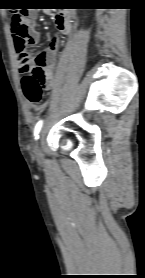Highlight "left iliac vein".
<instances>
[{"mask_svg": "<svg viewBox=\"0 0 145 278\" xmlns=\"http://www.w3.org/2000/svg\"><path fill=\"white\" fill-rule=\"evenodd\" d=\"M42 136H43V134L41 133L40 138ZM39 143H40V140L36 141V143H35V156L37 157V159H40L42 157V151H41Z\"/></svg>", "mask_w": 145, "mask_h": 278, "instance_id": "4c4485c4", "label": "left iliac vein"}]
</instances>
